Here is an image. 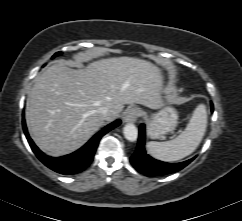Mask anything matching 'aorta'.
Instances as JSON below:
<instances>
[{
    "label": "aorta",
    "instance_id": "762f6f07",
    "mask_svg": "<svg viewBox=\"0 0 242 221\" xmlns=\"http://www.w3.org/2000/svg\"><path fill=\"white\" fill-rule=\"evenodd\" d=\"M123 134L128 141L134 142L138 138V129L134 124H126L123 128Z\"/></svg>",
    "mask_w": 242,
    "mask_h": 221
}]
</instances>
